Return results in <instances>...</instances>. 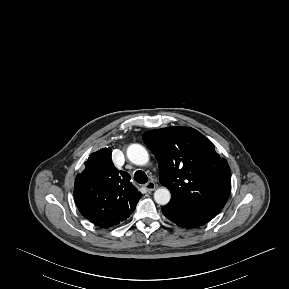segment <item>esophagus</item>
I'll list each match as a JSON object with an SVG mask.
<instances>
[{"label":"esophagus","mask_w":289,"mask_h":289,"mask_svg":"<svg viewBox=\"0 0 289 289\" xmlns=\"http://www.w3.org/2000/svg\"><path fill=\"white\" fill-rule=\"evenodd\" d=\"M145 188L148 192L153 191L156 188V184L152 181H149L146 185Z\"/></svg>","instance_id":"obj_1"}]
</instances>
